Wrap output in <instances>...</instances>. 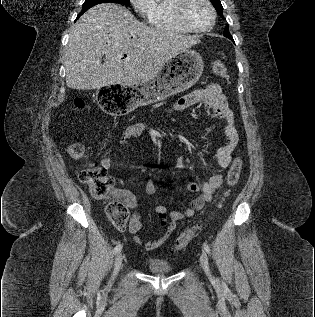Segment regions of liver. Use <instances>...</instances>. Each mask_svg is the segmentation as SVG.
<instances>
[{"instance_id": "1", "label": "liver", "mask_w": 315, "mask_h": 317, "mask_svg": "<svg viewBox=\"0 0 315 317\" xmlns=\"http://www.w3.org/2000/svg\"><path fill=\"white\" fill-rule=\"evenodd\" d=\"M199 42L195 36L148 27L122 6L100 4L71 28L66 85L77 90L131 86L151 79L167 61Z\"/></svg>"}]
</instances>
